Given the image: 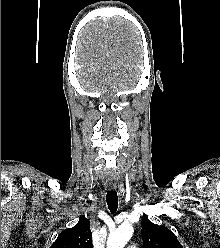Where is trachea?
<instances>
[{
	"label": "trachea",
	"mask_w": 220,
	"mask_h": 248,
	"mask_svg": "<svg viewBox=\"0 0 220 248\" xmlns=\"http://www.w3.org/2000/svg\"><path fill=\"white\" fill-rule=\"evenodd\" d=\"M106 201H107L108 209L112 214H114L118 208L117 192L115 190L108 191L106 195Z\"/></svg>",
	"instance_id": "3493384b"
}]
</instances>
